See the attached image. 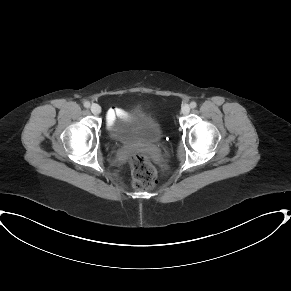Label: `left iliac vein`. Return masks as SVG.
Here are the masks:
<instances>
[{"label":"left iliac vein","mask_w":291,"mask_h":291,"mask_svg":"<svg viewBox=\"0 0 291 291\" xmlns=\"http://www.w3.org/2000/svg\"><path fill=\"white\" fill-rule=\"evenodd\" d=\"M182 114L187 115L190 112L189 105H184L181 109Z\"/></svg>","instance_id":"left-iliac-vein-1"}]
</instances>
